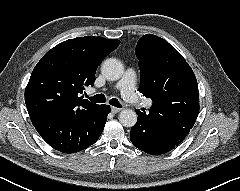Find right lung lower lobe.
<instances>
[{"label": "right lung lower lobe", "instance_id": "1", "mask_svg": "<svg viewBox=\"0 0 240 191\" xmlns=\"http://www.w3.org/2000/svg\"><path fill=\"white\" fill-rule=\"evenodd\" d=\"M109 111L108 105H96L78 114H52L33 125L52 148L64 153H74L98 140Z\"/></svg>", "mask_w": 240, "mask_h": 191}]
</instances>
